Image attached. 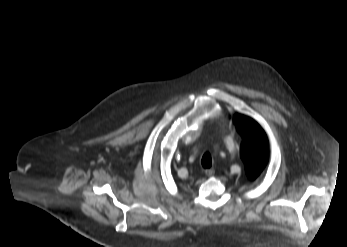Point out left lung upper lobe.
<instances>
[{
  "instance_id": "obj_1",
  "label": "left lung upper lobe",
  "mask_w": 347,
  "mask_h": 247,
  "mask_svg": "<svg viewBox=\"0 0 347 247\" xmlns=\"http://www.w3.org/2000/svg\"><path fill=\"white\" fill-rule=\"evenodd\" d=\"M233 121L243 137L240 156L249 178H256L268 161V139L260 125L251 118L235 115Z\"/></svg>"
}]
</instances>
